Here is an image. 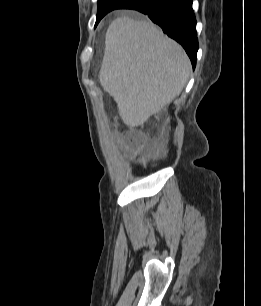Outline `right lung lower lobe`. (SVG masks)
Wrapping results in <instances>:
<instances>
[{"instance_id":"obj_1","label":"right lung lower lobe","mask_w":261,"mask_h":306,"mask_svg":"<svg viewBox=\"0 0 261 306\" xmlns=\"http://www.w3.org/2000/svg\"><path fill=\"white\" fill-rule=\"evenodd\" d=\"M118 9H134L148 15L164 33L183 46L195 68L198 39L192 0H129Z\"/></svg>"}]
</instances>
